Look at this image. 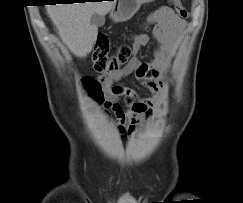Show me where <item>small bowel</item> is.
Wrapping results in <instances>:
<instances>
[{"label":"small bowel","mask_w":243,"mask_h":203,"mask_svg":"<svg viewBox=\"0 0 243 203\" xmlns=\"http://www.w3.org/2000/svg\"><path fill=\"white\" fill-rule=\"evenodd\" d=\"M147 22L154 25L156 45L152 59L142 62L138 58H133L121 71L102 74L99 77L105 92L103 113H114L117 131L123 138L136 132L143 124L154 121L155 113L163 109L164 78L170 68L177 44L187 28V22L168 7L159 8ZM149 42L148 35L137 34L133 40L135 53L148 46ZM130 75L141 81L142 85L152 92V96L141 98L132 88L118 84Z\"/></svg>","instance_id":"obj_1"}]
</instances>
